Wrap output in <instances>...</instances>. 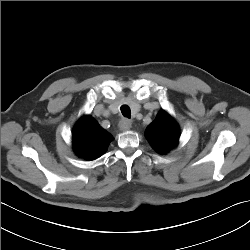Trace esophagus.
Segmentation results:
<instances>
[{
    "label": "esophagus",
    "mask_w": 250,
    "mask_h": 250,
    "mask_svg": "<svg viewBox=\"0 0 250 250\" xmlns=\"http://www.w3.org/2000/svg\"><path fill=\"white\" fill-rule=\"evenodd\" d=\"M131 127H132V121L127 118H123L119 122V128L122 131H128Z\"/></svg>",
    "instance_id": "esophagus-1"
}]
</instances>
